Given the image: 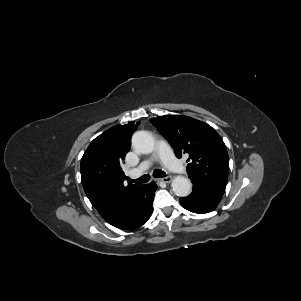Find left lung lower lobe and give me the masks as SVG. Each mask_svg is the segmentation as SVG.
Listing matches in <instances>:
<instances>
[{"label": "left lung lower lobe", "mask_w": 301, "mask_h": 301, "mask_svg": "<svg viewBox=\"0 0 301 301\" xmlns=\"http://www.w3.org/2000/svg\"><path fill=\"white\" fill-rule=\"evenodd\" d=\"M193 182V192L187 197L179 199L181 205L194 213L204 214L213 211L220 202L224 191L210 186L199 180Z\"/></svg>", "instance_id": "0a47b994"}]
</instances>
